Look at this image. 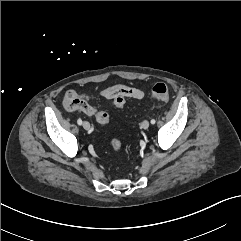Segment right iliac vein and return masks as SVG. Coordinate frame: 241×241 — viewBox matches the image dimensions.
Masks as SVG:
<instances>
[{
    "label": "right iliac vein",
    "instance_id": "right-iliac-vein-1",
    "mask_svg": "<svg viewBox=\"0 0 241 241\" xmlns=\"http://www.w3.org/2000/svg\"><path fill=\"white\" fill-rule=\"evenodd\" d=\"M83 128H84L85 130H89V129H90V123L87 122V121L83 122Z\"/></svg>",
    "mask_w": 241,
    "mask_h": 241
}]
</instances>
